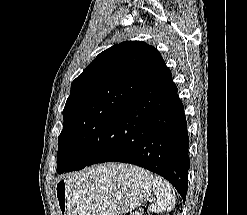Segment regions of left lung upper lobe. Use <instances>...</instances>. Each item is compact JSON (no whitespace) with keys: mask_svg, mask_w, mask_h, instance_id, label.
I'll use <instances>...</instances> for the list:
<instances>
[{"mask_svg":"<svg viewBox=\"0 0 247 215\" xmlns=\"http://www.w3.org/2000/svg\"><path fill=\"white\" fill-rule=\"evenodd\" d=\"M163 62L161 54L142 41H126L101 52L71 86L58 137L57 172L80 160L89 145L97 152L142 87Z\"/></svg>","mask_w":247,"mask_h":215,"instance_id":"obj_1","label":"left lung upper lobe"}]
</instances>
